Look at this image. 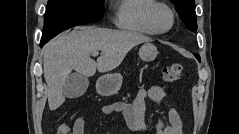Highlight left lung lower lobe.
<instances>
[{
    "label": "left lung lower lobe",
    "instance_id": "0a47b994",
    "mask_svg": "<svg viewBox=\"0 0 239 134\" xmlns=\"http://www.w3.org/2000/svg\"><path fill=\"white\" fill-rule=\"evenodd\" d=\"M197 59H199L200 57L198 55H196Z\"/></svg>",
    "mask_w": 239,
    "mask_h": 134
}]
</instances>
